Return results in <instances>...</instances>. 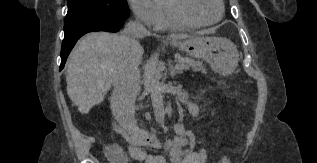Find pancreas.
<instances>
[{"instance_id":"pancreas-1","label":"pancreas","mask_w":317,"mask_h":163,"mask_svg":"<svg viewBox=\"0 0 317 163\" xmlns=\"http://www.w3.org/2000/svg\"><path fill=\"white\" fill-rule=\"evenodd\" d=\"M176 62L178 65H182L184 69L192 68L194 71H201L202 73H206L204 64L201 61H195L187 57L176 55Z\"/></svg>"}]
</instances>
